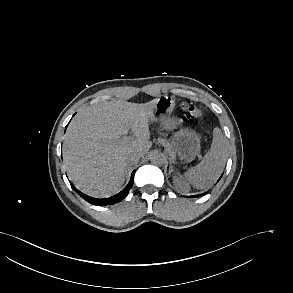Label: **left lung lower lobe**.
Masks as SVG:
<instances>
[{
    "label": "left lung lower lobe",
    "instance_id": "1",
    "mask_svg": "<svg viewBox=\"0 0 293 293\" xmlns=\"http://www.w3.org/2000/svg\"><path fill=\"white\" fill-rule=\"evenodd\" d=\"M202 195H204V194H201V195H195V196H190V197H200V196H202Z\"/></svg>",
    "mask_w": 293,
    "mask_h": 293
}]
</instances>
